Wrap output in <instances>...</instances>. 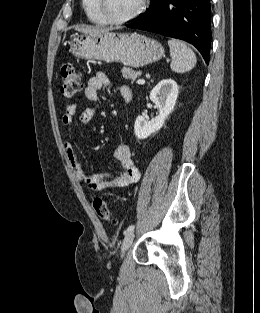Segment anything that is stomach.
<instances>
[{
  "label": "stomach",
  "mask_w": 260,
  "mask_h": 313,
  "mask_svg": "<svg viewBox=\"0 0 260 313\" xmlns=\"http://www.w3.org/2000/svg\"><path fill=\"white\" fill-rule=\"evenodd\" d=\"M69 52L77 58L120 62L133 68L156 62L164 56V48L158 41L136 32L84 33L71 40Z\"/></svg>",
  "instance_id": "1"
}]
</instances>
